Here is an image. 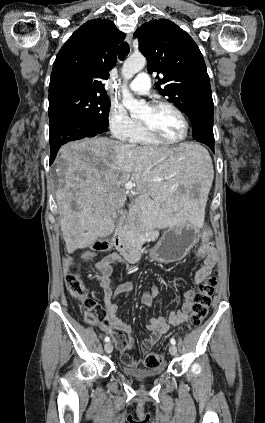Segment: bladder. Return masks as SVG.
Masks as SVG:
<instances>
[{
  "label": "bladder",
  "mask_w": 265,
  "mask_h": 423,
  "mask_svg": "<svg viewBox=\"0 0 265 423\" xmlns=\"http://www.w3.org/2000/svg\"><path fill=\"white\" fill-rule=\"evenodd\" d=\"M121 369L124 374L134 378L155 377L162 374L164 370L163 368H154V369L132 368L126 365H122Z\"/></svg>",
  "instance_id": "bladder-1"
}]
</instances>
